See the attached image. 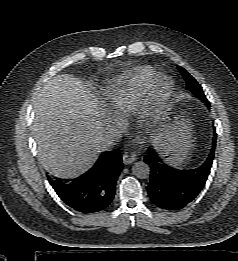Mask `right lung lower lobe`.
<instances>
[{
    "mask_svg": "<svg viewBox=\"0 0 238 261\" xmlns=\"http://www.w3.org/2000/svg\"><path fill=\"white\" fill-rule=\"evenodd\" d=\"M118 150L101 153L96 163L76 179L51 180L58 196L74 210L89 214L105 210L113 201L116 181L122 171Z\"/></svg>",
    "mask_w": 238,
    "mask_h": 261,
    "instance_id": "obj_1",
    "label": "right lung lower lobe"
}]
</instances>
